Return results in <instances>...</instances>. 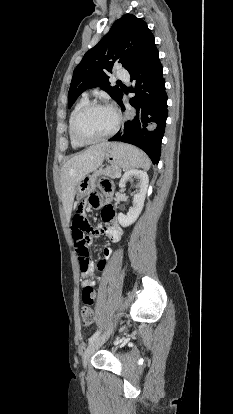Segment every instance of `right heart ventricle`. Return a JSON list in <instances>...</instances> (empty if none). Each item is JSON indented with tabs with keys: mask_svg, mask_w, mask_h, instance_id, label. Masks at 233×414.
Segmentation results:
<instances>
[{
	"mask_svg": "<svg viewBox=\"0 0 233 414\" xmlns=\"http://www.w3.org/2000/svg\"><path fill=\"white\" fill-rule=\"evenodd\" d=\"M89 102V99L87 96H82L77 103L75 104L74 108L72 109L70 116H69V120H68V133H69V138H70V143L72 145L73 148H81L83 146H85V144H81L78 143L77 141L74 140V138L72 137V133H71V127H72V122L73 119L75 117V115L77 114V112L86 104Z\"/></svg>",
	"mask_w": 233,
	"mask_h": 414,
	"instance_id": "1",
	"label": "right heart ventricle"
}]
</instances>
